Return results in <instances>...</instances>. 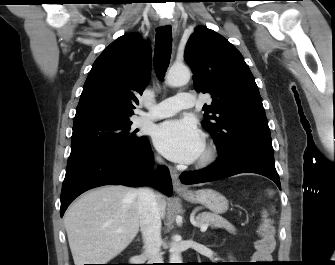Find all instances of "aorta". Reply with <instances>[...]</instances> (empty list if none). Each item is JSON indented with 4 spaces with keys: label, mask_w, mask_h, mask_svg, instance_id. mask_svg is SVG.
<instances>
[{
    "label": "aorta",
    "mask_w": 335,
    "mask_h": 265,
    "mask_svg": "<svg viewBox=\"0 0 335 265\" xmlns=\"http://www.w3.org/2000/svg\"><path fill=\"white\" fill-rule=\"evenodd\" d=\"M190 80V71L186 66H172L167 74L166 82L170 86H181ZM177 241V237L173 238ZM170 263H182V256L177 245L170 248Z\"/></svg>",
    "instance_id": "762f6f07"
}]
</instances>
